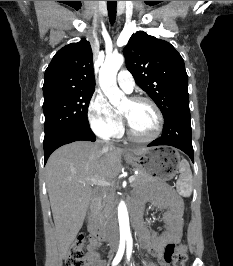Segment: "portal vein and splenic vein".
Returning a JSON list of instances; mask_svg holds the SVG:
<instances>
[{
	"label": "portal vein and splenic vein",
	"mask_w": 233,
	"mask_h": 266,
	"mask_svg": "<svg viewBox=\"0 0 233 266\" xmlns=\"http://www.w3.org/2000/svg\"><path fill=\"white\" fill-rule=\"evenodd\" d=\"M128 180H129V183H132L135 180V175H131ZM86 181L92 185L93 184L99 185V186H110L111 185L109 181L102 179V178H97V177L88 178L86 179Z\"/></svg>",
	"instance_id": "portal-vein-and-splenic-vein-1"
}]
</instances>
